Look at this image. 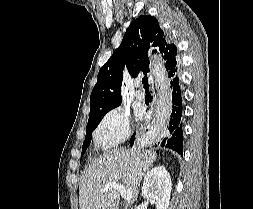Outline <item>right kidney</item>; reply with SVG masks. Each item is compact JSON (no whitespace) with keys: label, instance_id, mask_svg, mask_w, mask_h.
<instances>
[{"label":"right kidney","instance_id":"obj_1","mask_svg":"<svg viewBox=\"0 0 253 209\" xmlns=\"http://www.w3.org/2000/svg\"><path fill=\"white\" fill-rule=\"evenodd\" d=\"M171 176L164 166L151 169L145 176L142 196L152 199L156 209H168L171 196Z\"/></svg>","mask_w":253,"mask_h":209}]
</instances>
